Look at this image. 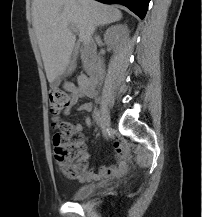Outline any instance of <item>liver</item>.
<instances>
[{"mask_svg":"<svg viewBox=\"0 0 202 217\" xmlns=\"http://www.w3.org/2000/svg\"><path fill=\"white\" fill-rule=\"evenodd\" d=\"M33 27L41 51L45 72L52 83L70 62L76 37L70 31L75 26L79 41L92 39L97 26L119 21V9L95 0H34Z\"/></svg>","mask_w":202,"mask_h":217,"instance_id":"1","label":"liver"}]
</instances>
